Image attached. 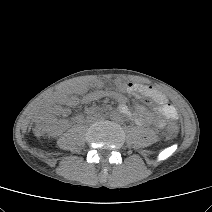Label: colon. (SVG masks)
Instances as JSON below:
<instances>
[{"label":"colon","instance_id":"obj_1","mask_svg":"<svg viewBox=\"0 0 212 212\" xmlns=\"http://www.w3.org/2000/svg\"><path fill=\"white\" fill-rule=\"evenodd\" d=\"M52 131V124L47 123L45 121H37L33 127V132L36 136H44L47 133ZM168 132L171 136H174L178 132V125L175 123H172L168 127Z\"/></svg>","mask_w":212,"mask_h":212}]
</instances>
